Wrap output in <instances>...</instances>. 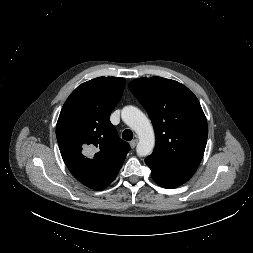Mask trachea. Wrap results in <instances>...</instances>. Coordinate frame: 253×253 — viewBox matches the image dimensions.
Wrapping results in <instances>:
<instances>
[{
    "label": "trachea",
    "mask_w": 253,
    "mask_h": 253,
    "mask_svg": "<svg viewBox=\"0 0 253 253\" xmlns=\"http://www.w3.org/2000/svg\"><path fill=\"white\" fill-rule=\"evenodd\" d=\"M122 138L126 141H131L133 138V132L129 129L123 131Z\"/></svg>",
    "instance_id": "obj_1"
}]
</instances>
